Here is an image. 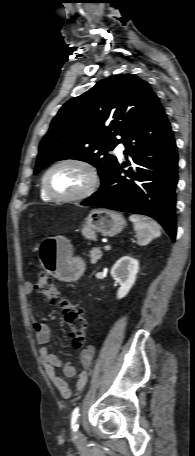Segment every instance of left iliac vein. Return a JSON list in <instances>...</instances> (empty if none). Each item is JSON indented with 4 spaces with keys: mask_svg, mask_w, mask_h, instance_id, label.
Wrapping results in <instances>:
<instances>
[{
    "mask_svg": "<svg viewBox=\"0 0 195 456\" xmlns=\"http://www.w3.org/2000/svg\"><path fill=\"white\" fill-rule=\"evenodd\" d=\"M75 435H76V438H77V439H82V436H83V435H82V433H81L80 430H76Z\"/></svg>",
    "mask_w": 195,
    "mask_h": 456,
    "instance_id": "obj_1",
    "label": "left iliac vein"
}]
</instances>
